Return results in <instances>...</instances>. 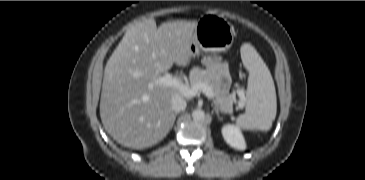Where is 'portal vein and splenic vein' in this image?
<instances>
[{"instance_id":"obj_1","label":"portal vein and splenic vein","mask_w":365,"mask_h":180,"mask_svg":"<svg viewBox=\"0 0 365 180\" xmlns=\"http://www.w3.org/2000/svg\"><path fill=\"white\" fill-rule=\"evenodd\" d=\"M158 84L173 87L177 89L185 97L191 98L196 96L199 92H203L209 99L214 98L212 89L205 83H197L191 87L183 84L178 78L173 77L172 74L166 73L164 76L159 77L156 81Z\"/></svg>"}]
</instances>
